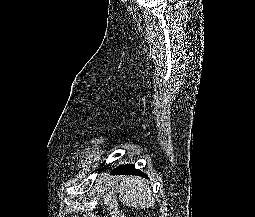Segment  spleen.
Segmentation results:
<instances>
[{
    "label": "spleen",
    "mask_w": 255,
    "mask_h": 217,
    "mask_svg": "<svg viewBox=\"0 0 255 217\" xmlns=\"http://www.w3.org/2000/svg\"><path fill=\"white\" fill-rule=\"evenodd\" d=\"M118 193L119 199L126 206L149 208L155 204L151 187L136 177L124 178Z\"/></svg>",
    "instance_id": "3e777b00"
}]
</instances>
